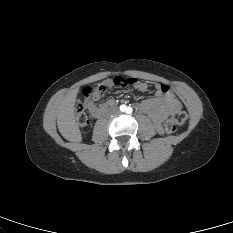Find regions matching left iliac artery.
Here are the masks:
<instances>
[{
  "mask_svg": "<svg viewBox=\"0 0 233 233\" xmlns=\"http://www.w3.org/2000/svg\"><path fill=\"white\" fill-rule=\"evenodd\" d=\"M132 111H133V109H132L131 107H128V108L126 109V112H127L128 114L132 113Z\"/></svg>",
  "mask_w": 233,
  "mask_h": 233,
  "instance_id": "left-iliac-artery-1",
  "label": "left iliac artery"
}]
</instances>
